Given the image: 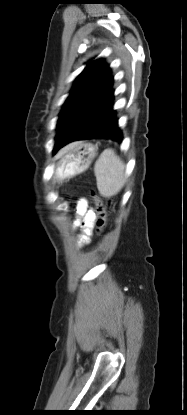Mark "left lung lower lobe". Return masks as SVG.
Instances as JSON below:
<instances>
[{
	"mask_svg": "<svg viewBox=\"0 0 187 415\" xmlns=\"http://www.w3.org/2000/svg\"><path fill=\"white\" fill-rule=\"evenodd\" d=\"M111 69L106 66L91 87L82 107L56 148V153L66 144L84 139H111L121 142L123 135L118 128L113 110L114 90Z\"/></svg>",
	"mask_w": 187,
	"mask_h": 415,
	"instance_id": "1",
	"label": "left lung lower lobe"
}]
</instances>
